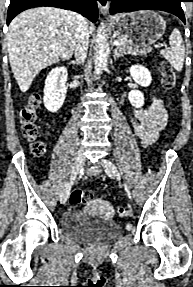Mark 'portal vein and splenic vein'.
<instances>
[{"mask_svg": "<svg viewBox=\"0 0 193 287\" xmlns=\"http://www.w3.org/2000/svg\"><path fill=\"white\" fill-rule=\"evenodd\" d=\"M113 44H114L115 46H117V47L120 46V43H119L117 40H115V41L113 42ZM155 47H163V45L155 46Z\"/></svg>", "mask_w": 193, "mask_h": 287, "instance_id": "1", "label": "portal vein and splenic vein"}]
</instances>
